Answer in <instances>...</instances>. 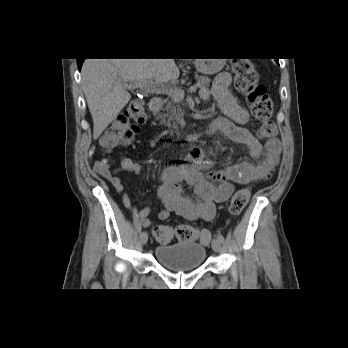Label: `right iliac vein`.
<instances>
[{"label":"right iliac vein","mask_w":348,"mask_h":348,"mask_svg":"<svg viewBox=\"0 0 348 348\" xmlns=\"http://www.w3.org/2000/svg\"><path fill=\"white\" fill-rule=\"evenodd\" d=\"M139 240L142 245H145L148 241V233L146 231H143L139 235Z\"/></svg>","instance_id":"63e3f726"}]
</instances>
